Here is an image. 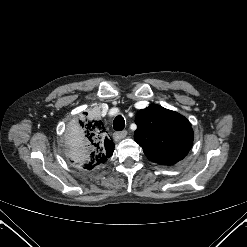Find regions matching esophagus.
<instances>
[{
	"label": "esophagus",
	"mask_w": 247,
	"mask_h": 247,
	"mask_svg": "<svg viewBox=\"0 0 247 247\" xmlns=\"http://www.w3.org/2000/svg\"><path fill=\"white\" fill-rule=\"evenodd\" d=\"M126 136H127V131L126 130H123V131L115 133V137L117 139H124Z\"/></svg>",
	"instance_id": "obj_1"
}]
</instances>
